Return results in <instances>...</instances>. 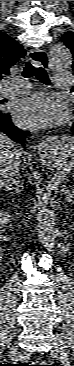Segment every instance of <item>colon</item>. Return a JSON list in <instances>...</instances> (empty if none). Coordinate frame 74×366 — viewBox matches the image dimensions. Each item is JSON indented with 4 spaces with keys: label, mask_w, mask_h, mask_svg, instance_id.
Masks as SVG:
<instances>
[{
    "label": "colon",
    "mask_w": 74,
    "mask_h": 366,
    "mask_svg": "<svg viewBox=\"0 0 74 366\" xmlns=\"http://www.w3.org/2000/svg\"><path fill=\"white\" fill-rule=\"evenodd\" d=\"M30 366H52V365L49 363H46V362L37 361V362H34L33 365H30Z\"/></svg>",
    "instance_id": "obj_1"
}]
</instances>
